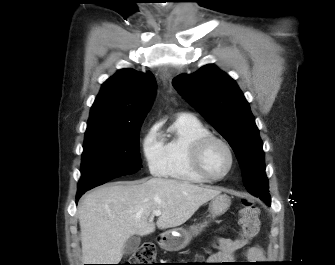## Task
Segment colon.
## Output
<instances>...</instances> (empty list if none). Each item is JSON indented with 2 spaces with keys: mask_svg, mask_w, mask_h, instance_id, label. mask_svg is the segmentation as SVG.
I'll return each mask as SVG.
<instances>
[{
  "mask_svg": "<svg viewBox=\"0 0 335 265\" xmlns=\"http://www.w3.org/2000/svg\"><path fill=\"white\" fill-rule=\"evenodd\" d=\"M239 225L245 240L255 237L261 226L260 212L255 204L249 200L243 202L240 210ZM156 250L154 245L145 243L131 256L128 264L124 265H154Z\"/></svg>",
  "mask_w": 335,
  "mask_h": 265,
  "instance_id": "5ec220e1",
  "label": "colon"
}]
</instances>
